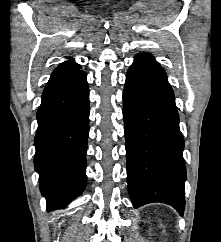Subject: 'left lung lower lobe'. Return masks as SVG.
I'll use <instances>...</instances> for the list:
<instances>
[{
	"mask_svg": "<svg viewBox=\"0 0 221 242\" xmlns=\"http://www.w3.org/2000/svg\"><path fill=\"white\" fill-rule=\"evenodd\" d=\"M127 182L135 208L152 202L184 212V139L165 78L131 65L123 91Z\"/></svg>",
	"mask_w": 221,
	"mask_h": 242,
	"instance_id": "left-lung-lower-lobe-1",
	"label": "left lung lower lobe"
}]
</instances>
